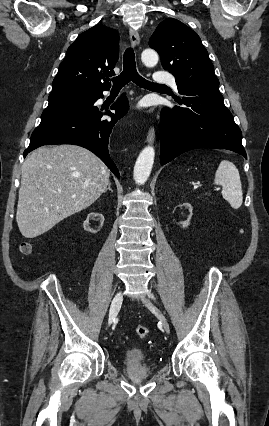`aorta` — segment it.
<instances>
[{
	"instance_id": "1",
	"label": "aorta",
	"mask_w": 269,
	"mask_h": 426,
	"mask_svg": "<svg viewBox=\"0 0 269 426\" xmlns=\"http://www.w3.org/2000/svg\"><path fill=\"white\" fill-rule=\"evenodd\" d=\"M158 54L153 49H145L141 54L142 62L148 66L152 67L158 63ZM155 151L152 146L145 147L139 154L133 172V178L136 184H144L151 173L153 163H154Z\"/></svg>"
}]
</instances>
